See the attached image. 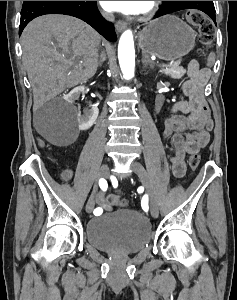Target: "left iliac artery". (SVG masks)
Masks as SVG:
<instances>
[{
  "instance_id": "obj_1",
  "label": "left iliac artery",
  "mask_w": 237,
  "mask_h": 300,
  "mask_svg": "<svg viewBox=\"0 0 237 300\" xmlns=\"http://www.w3.org/2000/svg\"><path fill=\"white\" fill-rule=\"evenodd\" d=\"M141 205L144 211H148V197L146 195L143 196Z\"/></svg>"
}]
</instances>
